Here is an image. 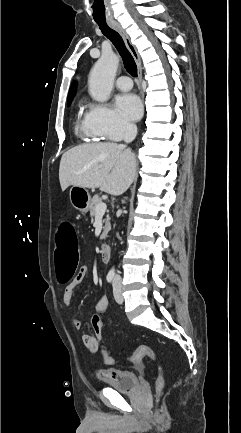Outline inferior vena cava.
Here are the masks:
<instances>
[{
  "mask_svg": "<svg viewBox=\"0 0 241 433\" xmlns=\"http://www.w3.org/2000/svg\"><path fill=\"white\" fill-rule=\"evenodd\" d=\"M137 135V126L133 123H126L123 128V138L125 143L132 142ZM125 147V145H122ZM116 281H121V277L119 274L115 275L114 278Z\"/></svg>",
  "mask_w": 241,
  "mask_h": 433,
  "instance_id": "inferior-vena-cava-1",
  "label": "inferior vena cava"
}]
</instances>
